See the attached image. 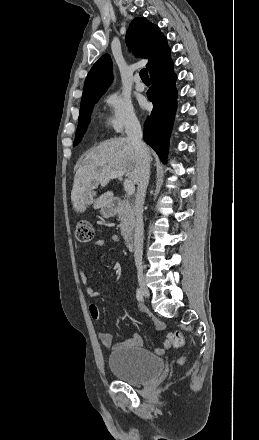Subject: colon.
Listing matches in <instances>:
<instances>
[{"instance_id": "obj_1", "label": "colon", "mask_w": 259, "mask_h": 440, "mask_svg": "<svg viewBox=\"0 0 259 440\" xmlns=\"http://www.w3.org/2000/svg\"><path fill=\"white\" fill-rule=\"evenodd\" d=\"M76 237L82 243L90 242L94 237L93 225L88 221H80L76 226ZM169 346L181 347L184 344V337L179 331H172L167 334ZM185 357L180 358L179 363H182Z\"/></svg>"}]
</instances>
